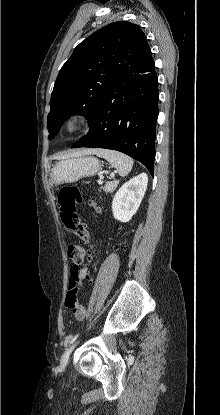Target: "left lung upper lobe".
Here are the masks:
<instances>
[{
	"mask_svg": "<svg viewBox=\"0 0 220 415\" xmlns=\"http://www.w3.org/2000/svg\"><path fill=\"white\" fill-rule=\"evenodd\" d=\"M151 59L145 34L130 22L111 23L82 41L57 76L47 121L49 139L71 115L90 122L116 79L142 69Z\"/></svg>",
	"mask_w": 220,
	"mask_h": 415,
	"instance_id": "5c2ea615",
	"label": "left lung upper lobe"
}]
</instances>
